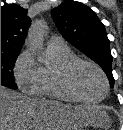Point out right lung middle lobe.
<instances>
[{
  "instance_id": "obj_1",
  "label": "right lung middle lobe",
  "mask_w": 123,
  "mask_h": 130,
  "mask_svg": "<svg viewBox=\"0 0 123 130\" xmlns=\"http://www.w3.org/2000/svg\"><path fill=\"white\" fill-rule=\"evenodd\" d=\"M18 54L19 52H1V85L12 89H17L12 70Z\"/></svg>"
}]
</instances>
